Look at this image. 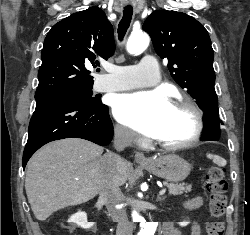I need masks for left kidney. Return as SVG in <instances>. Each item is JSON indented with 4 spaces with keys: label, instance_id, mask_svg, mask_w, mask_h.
<instances>
[{
    "label": "left kidney",
    "instance_id": "1",
    "mask_svg": "<svg viewBox=\"0 0 250 235\" xmlns=\"http://www.w3.org/2000/svg\"><path fill=\"white\" fill-rule=\"evenodd\" d=\"M188 224H189V222H187V221L179 222V225H180L181 227H185V226H187Z\"/></svg>",
    "mask_w": 250,
    "mask_h": 235
}]
</instances>
